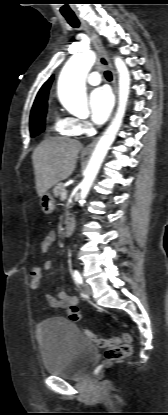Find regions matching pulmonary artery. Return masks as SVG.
<instances>
[{
  "label": "pulmonary artery",
  "mask_w": 168,
  "mask_h": 415,
  "mask_svg": "<svg viewBox=\"0 0 168 415\" xmlns=\"http://www.w3.org/2000/svg\"><path fill=\"white\" fill-rule=\"evenodd\" d=\"M101 82L100 74L98 72H92L87 77V83L92 86H96Z\"/></svg>",
  "instance_id": "1"
}]
</instances>
